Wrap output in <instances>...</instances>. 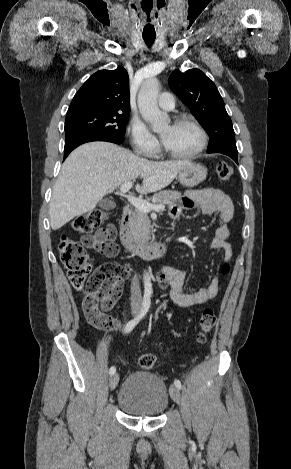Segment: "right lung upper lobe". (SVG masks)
<instances>
[{
	"label": "right lung upper lobe",
	"instance_id": "1",
	"mask_svg": "<svg viewBox=\"0 0 291 469\" xmlns=\"http://www.w3.org/2000/svg\"><path fill=\"white\" fill-rule=\"evenodd\" d=\"M82 110L130 112L126 70L118 67L93 74L75 94L67 113Z\"/></svg>",
	"mask_w": 291,
	"mask_h": 469
}]
</instances>
